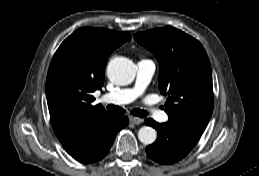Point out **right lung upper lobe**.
Returning <instances> with one entry per match:
<instances>
[{"mask_svg": "<svg viewBox=\"0 0 259 176\" xmlns=\"http://www.w3.org/2000/svg\"><path fill=\"white\" fill-rule=\"evenodd\" d=\"M130 39L127 32L83 27L54 54L46 79V96L53 130L66 151L88 141L111 114L92 106V93L104 84L111 52Z\"/></svg>", "mask_w": 259, "mask_h": 176, "instance_id": "obj_1", "label": "right lung upper lobe"}]
</instances>
